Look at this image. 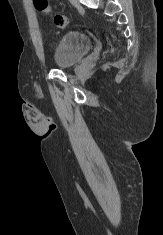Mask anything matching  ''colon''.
<instances>
[{"label":"colon","instance_id":"5ec220e1","mask_svg":"<svg viewBox=\"0 0 163 235\" xmlns=\"http://www.w3.org/2000/svg\"><path fill=\"white\" fill-rule=\"evenodd\" d=\"M34 7L41 13H50L51 7L48 0H33ZM54 24L58 28H65L69 24V18L65 15L56 14L54 16Z\"/></svg>","mask_w":163,"mask_h":235}]
</instances>
